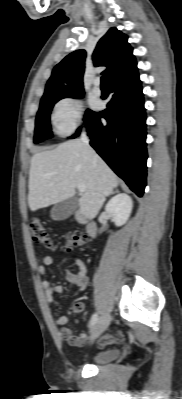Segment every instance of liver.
<instances>
[{
	"instance_id": "obj_1",
	"label": "liver",
	"mask_w": 182,
	"mask_h": 399,
	"mask_svg": "<svg viewBox=\"0 0 182 399\" xmlns=\"http://www.w3.org/2000/svg\"><path fill=\"white\" fill-rule=\"evenodd\" d=\"M80 183L86 187L79 199L81 214L93 219L119 181L101 157L80 140L66 141L53 150L35 153L29 171L30 210L73 197Z\"/></svg>"
}]
</instances>
